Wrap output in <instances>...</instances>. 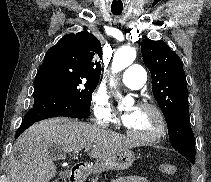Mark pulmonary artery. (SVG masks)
I'll return each instance as SVG.
<instances>
[{
    "label": "pulmonary artery",
    "instance_id": "pulmonary-artery-1",
    "mask_svg": "<svg viewBox=\"0 0 211 182\" xmlns=\"http://www.w3.org/2000/svg\"><path fill=\"white\" fill-rule=\"evenodd\" d=\"M146 71L137 64L130 65L122 74V82L131 89H139L145 83Z\"/></svg>",
    "mask_w": 211,
    "mask_h": 182
}]
</instances>
